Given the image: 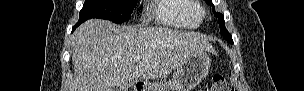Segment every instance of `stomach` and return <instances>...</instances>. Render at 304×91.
<instances>
[{
  "label": "stomach",
  "mask_w": 304,
  "mask_h": 91,
  "mask_svg": "<svg viewBox=\"0 0 304 91\" xmlns=\"http://www.w3.org/2000/svg\"><path fill=\"white\" fill-rule=\"evenodd\" d=\"M210 56L207 51L191 53L175 70L172 80L164 87H147L143 91H191L210 69Z\"/></svg>",
  "instance_id": "1"
}]
</instances>
